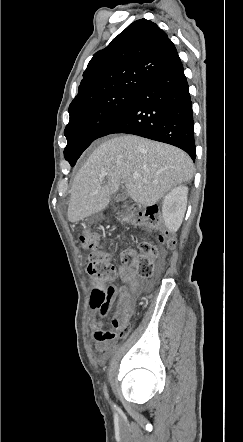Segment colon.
<instances>
[{
	"mask_svg": "<svg viewBox=\"0 0 243 442\" xmlns=\"http://www.w3.org/2000/svg\"><path fill=\"white\" fill-rule=\"evenodd\" d=\"M119 219L133 226H146L158 229L161 226L158 217V206L150 204L135 208L130 212H123ZM159 240L168 246H173L175 241L167 232L159 236ZM80 244L88 251L87 272L91 282V305L101 308L110 304L114 296V288L109 281L114 276V269L109 264L108 254L100 247L97 234L84 231L80 236ZM158 256L157 247L148 240L139 244L138 253L125 250L122 253V262L128 266H135L138 274L142 277H150L154 269V259ZM133 312H120L112 321V331L105 332L102 339L110 341L116 337L127 335L131 329V317Z\"/></svg>",
	"mask_w": 243,
	"mask_h": 442,
	"instance_id": "5ec220e1",
	"label": "colon"
}]
</instances>
